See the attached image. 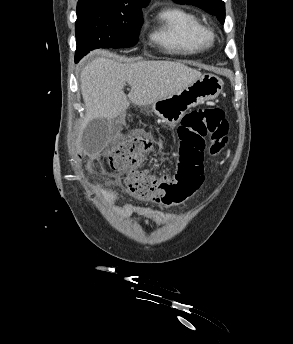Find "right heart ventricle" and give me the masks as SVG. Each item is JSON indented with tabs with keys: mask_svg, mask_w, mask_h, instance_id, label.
<instances>
[{
	"mask_svg": "<svg viewBox=\"0 0 293 344\" xmlns=\"http://www.w3.org/2000/svg\"><path fill=\"white\" fill-rule=\"evenodd\" d=\"M149 36L166 51L177 54H196L210 45L203 22L194 13L179 7L160 10Z\"/></svg>",
	"mask_w": 293,
	"mask_h": 344,
	"instance_id": "right-heart-ventricle-1",
	"label": "right heart ventricle"
}]
</instances>
